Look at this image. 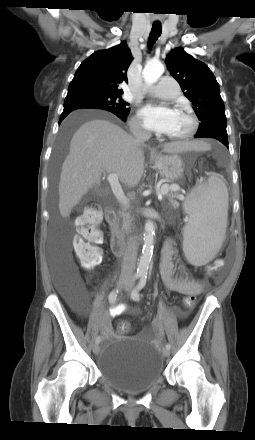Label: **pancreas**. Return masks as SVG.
<instances>
[{
  "label": "pancreas",
  "instance_id": "obj_1",
  "mask_svg": "<svg viewBox=\"0 0 255 440\" xmlns=\"http://www.w3.org/2000/svg\"><path fill=\"white\" fill-rule=\"evenodd\" d=\"M172 186L164 185L161 187V193L163 190H166L167 188H170ZM166 197L170 200L171 205L174 208H177L179 206L178 202L175 200L178 197V194L175 192V190H169L167 193H165ZM133 217L131 216L130 211L122 210L119 212L118 217L116 218L113 229L115 232L125 235L128 234L131 226H132Z\"/></svg>",
  "mask_w": 255,
  "mask_h": 440
}]
</instances>
